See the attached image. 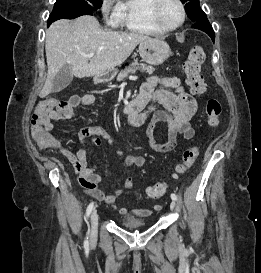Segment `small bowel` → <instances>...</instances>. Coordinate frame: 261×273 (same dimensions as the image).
I'll return each mask as SVG.
<instances>
[{"label":"small bowel","instance_id":"1","mask_svg":"<svg viewBox=\"0 0 261 273\" xmlns=\"http://www.w3.org/2000/svg\"><path fill=\"white\" fill-rule=\"evenodd\" d=\"M161 85L169 87L174 92L165 90H156V86ZM140 97L146 98L151 102L152 107L161 105L163 109L154 112L152 120L146 130V138L151 148L157 152L167 153L174 150L177 146L178 137L190 140L194 137L195 131L190 124L191 118L195 115L198 108L197 100L187 93L179 78L177 77H150L143 83L140 90ZM79 98V97H78ZM95 98L92 94H84L79 101L84 105H91ZM61 119L58 113H51L46 121V129L52 130V121ZM167 125L168 137L163 143H159L155 138V128L158 123ZM78 139L81 143H91L98 147L102 142L114 145L112 137L102 128L85 127L78 132ZM115 153L121 158L126 168L136 166L143 167L146 164V158L139 155H125L120 149L114 147ZM61 153L68 159L76 170L79 182L84 190L91 197L98 201L105 202L113 207L119 214H126L127 209L116 205L117 198L126 190L133 187L134 180L128 175L125 178L122 189L116 190L113 194H106L99 188V182L102 180V174L99 172V165L95 163L88 166L90 152L86 148H81L77 152L62 148ZM154 210L161 209L160 205H154ZM136 215L148 216L152 213L151 209H137Z\"/></svg>","mask_w":261,"mask_h":273}]
</instances>
